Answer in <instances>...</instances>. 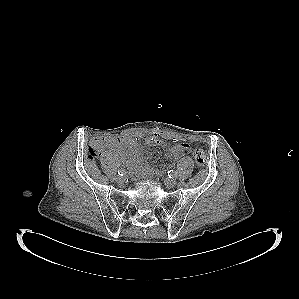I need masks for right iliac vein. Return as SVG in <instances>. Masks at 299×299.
Returning <instances> with one entry per match:
<instances>
[{"mask_svg":"<svg viewBox=\"0 0 299 299\" xmlns=\"http://www.w3.org/2000/svg\"><path fill=\"white\" fill-rule=\"evenodd\" d=\"M116 181H117L118 183L122 184V183L124 182V178L121 177V176H117V177H116Z\"/></svg>","mask_w":299,"mask_h":299,"instance_id":"right-iliac-vein-1","label":"right iliac vein"}]
</instances>
